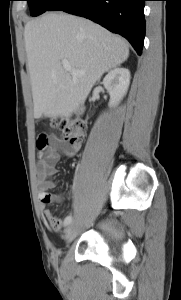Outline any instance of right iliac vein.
Returning a JSON list of instances; mask_svg holds the SVG:
<instances>
[{"instance_id":"63e3f726","label":"right iliac vein","mask_w":181,"mask_h":300,"mask_svg":"<svg viewBox=\"0 0 181 300\" xmlns=\"http://www.w3.org/2000/svg\"><path fill=\"white\" fill-rule=\"evenodd\" d=\"M75 235H76V227H75V223L72 222L68 225V227L65 230L66 242L70 243L71 241H73V239L75 238Z\"/></svg>"}]
</instances>
